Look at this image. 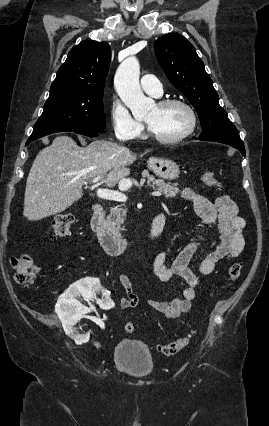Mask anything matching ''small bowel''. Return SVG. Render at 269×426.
Returning <instances> with one entry per match:
<instances>
[{"label":"small bowel","mask_w":269,"mask_h":426,"mask_svg":"<svg viewBox=\"0 0 269 426\" xmlns=\"http://www.w3.org/2000/svg\"><path fill=\"white\" fill-rule=\"evenodd\" d=\"M181 197L192 203L196 215L203 223L202 233L216 230L218 237L212 245V251L201 261L198 272L189 267L198 245L195 240L187 243L170 264L167 253L160 252L156 255L153 268L159 280L169 281L174 276H179L187 283L180 297L164 301L145 299L149 307L167 318L187 313L200 285V275H209L220 262L238 257L246 245L243 234L246 222L239 216L238 208L229 196L219 195L214 201H210L195 190L184 188ZM118 278L125 291V296L119 299V307L125 310L136 308L140 298L135 293L129 276L121 272Z\"/></svg>","instance_id":"small-bowel-1"}]
</instances>
